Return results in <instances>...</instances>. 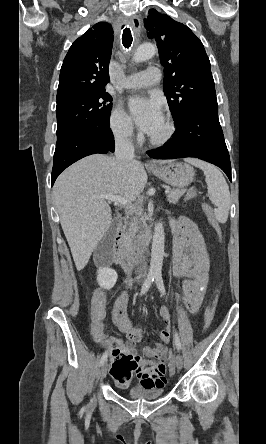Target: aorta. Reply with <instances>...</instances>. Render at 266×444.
I'll return each instance as SVG.
<instances>
[{
  "label": "aorta",
  "mask_w": 266,
  "mask_h": 444,
  "mask_svg": "<svg viewBox=\"0 0 266 444\" xmlns=\"http://www.w3.org/2000/svg\"><path fill=\"white\" fill-rule=\"evenodd\" d=\"M156 53V48L153 44L140 45L134 53L133 61L138 63L150 59ZM165 233L161 222L155 224L151 260H150V273L152 275H158L161 273L163 255H164Z\"/></svg>",
  "instance_id": "obj_1"
}]
</instances>
